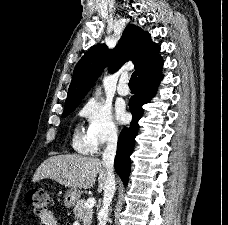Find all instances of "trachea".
<instances>
[{
	"label": "trachea",
	"mask_w": 228,
	"mask_h": 225,
	"mask_svg": "<svg viewBox=\"0 0 228 225\" xmlns=\"http://www.w3.org/2000/svg\"><path fill=\"white\" fill-rule=\"evenodd\" d=\"M136 79H137L136 73L134 72L131 75V78H130V81H129V87H134V88L137 87V85H136Z\"/></svg>",
	"instance_id": "3493384b"
}]
</instances>
